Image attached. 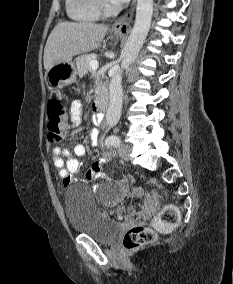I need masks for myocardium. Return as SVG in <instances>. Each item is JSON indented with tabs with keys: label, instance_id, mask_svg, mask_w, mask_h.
Here are the masks:
<instances>
[{
	"label": "myocardium",
	"instance_id": "1",
	"mask_svg": "<svg viewBox=\"0 0 233 284\" xmlns=\"http://www.w3.org/2000/svg\"><path fill=\"white\" fill-rule=\"evenodd\" d=\"M97 6L101 14L103 15H112L117 12V8L115 5L111 3L109 0H96Z\"/></svg>",
	"mask_w": 233,
	"mask_h": 284
}]
</instances>
